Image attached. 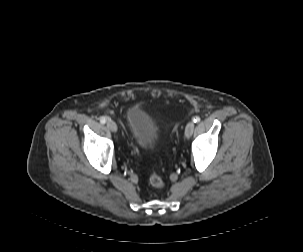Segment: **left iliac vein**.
Masks as SVG:
<instances>
[{"label":"left iliac vein","instance_id":"4c4485c4","mask_svg":"<svg viewBox=\"0 0 303 252\" xmlns=\"http://www.w3.org/2000/svg\"><path fill=\"white\" fill-rule=\"evenodd\" d=\"M194 127H195V123L193 121H190L187 123L186 128H185V137L187 139L191 137Z\"/></svg>","mask_w":303,"mask_h":252}]
</instances>
